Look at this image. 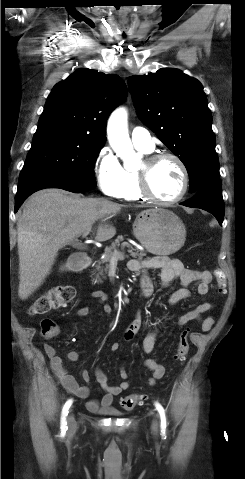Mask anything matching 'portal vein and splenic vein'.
I'll use <instances>...</instances> for the list:
<instances>
[{
    "label": "portal vein and splenic vein",
    "instance_id": "portal-vein-and-splenic-vein-1",
    "mask_svg": "<svg viewBox=\"0 0 245 479\" xmlns=\"http://www.w3.org/2000/svg\"><path fill=\"white\" fill-rule=\"evenodd\" d=\"M87 234H88V233L84 234L83 237H86ZM125 246L130 247V245H129L128 243H125V244L122 246V248H124ZM123 256H124V252H120V251L115 250L114 253H113L112 259L118 260V259L123 258Z\"/></svg>",
    "mask_w": 245,
    "mask_h": 479
}]
</instances>
